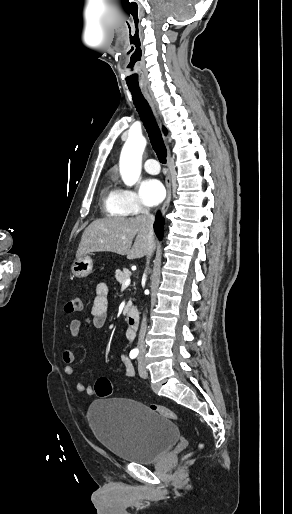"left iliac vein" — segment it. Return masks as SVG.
<instances>
[{"instance_id": "obj_1", "label": "left iliac vein", "mask_w": 292, "mask_h": 514, "mask_svg": "<svg viewBox=\"0 0 292 514\" xmlns=\"http://www.w3.org/2000/svg\"><path fill=\"white\" fill-rule=\"evenodd\" d=\"M138 372L141 378H147L148 377V371L144 365L143 360L140 358L138 361Z\"/></svg>"}]
</instances>
